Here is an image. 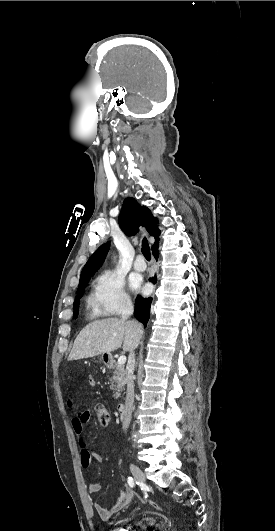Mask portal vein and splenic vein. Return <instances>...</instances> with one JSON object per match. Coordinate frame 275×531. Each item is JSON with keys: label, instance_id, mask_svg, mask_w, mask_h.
<instances>
[{"label": "portal vein and splenic vein", "instance_id": "1", "mask_svg": "<svg viewBox=\"0 0 275 531\" xmlns=\"http://www.w3.org/2000/svg\"><path fill=\"white\" fill-rule=\"evenodd\" d=\"M126 363V357L125 355H122V357H119L118 359V365H125Z\"/></svg>", "mask_w": 275, "mask_h": 531}]
</instances>
